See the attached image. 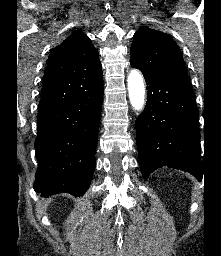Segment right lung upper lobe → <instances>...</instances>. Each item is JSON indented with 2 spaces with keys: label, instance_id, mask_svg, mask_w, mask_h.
<instances>
[{
  "label": "right lung upper lobe",
  "instance_id": "1",
  "mask_svg": "<svg viewBox=\"0 0 221 256\" xmlns=\"http://www.w3.org/2000/svg\"><path fill=\"white\" fill-rule=\"evenodd\" d=\"M47 63L38 111L58 107L103 88L99 53L81 32H74L55 47Z\"/></svg>",
  "mask_w": 221,
  "mask_h": 256
}]
</instances>
